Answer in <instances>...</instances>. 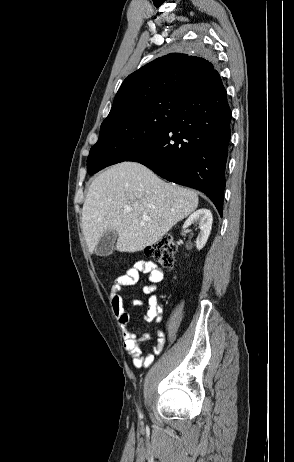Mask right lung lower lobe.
I'll return each mask as SVG.
<instances>
[{
    "label": "right lung lower lobe",
    "mask_w": 294,
    "mask_h": 462,
    "mask_svg": "<svg viewBox=\"0 0 294 462\" xmlns=\"http://www.w3.org/2000/svg\"><path fill=\"white\" fill-rule=\"evenodd\" d=\"M231 110L219 79L185 97L177 115L125 161L139 162L159 176L204 192L222 215ZM102 169L99 158L87 159V171Z\"/></svg>",
    "instance_id": "obj_1"
}]
</instances>
